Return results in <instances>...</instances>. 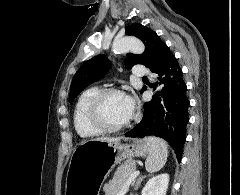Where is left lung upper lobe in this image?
<instances>
[{
  "label": "left lung upper lobe",
  "mask_w": 240,
  "mask_h": 195,
  "mask_svg": "<svg viewBox=\"0 0 240 195\" xmlns=\"http://www.w3.org/2000/svg\"><path fill=\"white\" fill-rule=\"evenodd\" d=\"M125 34L139 38L145 45V52L140 55L129 53L125 59V67L131 69L135 64H141L156 71L166 58L172 54L169 47L159 36L146 26L134 23L125 27ZM110 67V61L103 54L86 61L76 72L70 89V102L89 84L103 78ZM146 90L144 87L140 93Z\"/></svg>",
  "instance_id": "left-lung-upper-lobe-1"
}]
</instances>
